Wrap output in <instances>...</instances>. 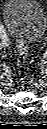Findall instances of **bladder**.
<instances>
[{
  "mask_svg": "<svg viewBox=\"0 0 47 129\" xmlns=\"http://www.w3.org/2000/svg\"><path fill=\"white\" fill-rule=\"evenodd\" d=\"M2 16L8 31L25 49L44 35L46 17L37 0H7Z\"/></svg>",
  "mask_w": 47,
  "mask_h": 129,
  "instance_id": "1",
  "label": "bladder"
}]
</instances>
